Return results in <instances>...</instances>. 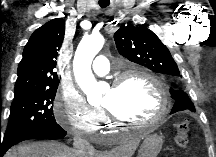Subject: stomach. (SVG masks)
<instances>
[{
  "instance_id": "obj_1",
  "label": "stomach",
  "mask_w": 216,
  "mask_h": 157,
  "mask_svg": "<svg viewBox=\"0 0 216 157\" xmlns=\"http://www.w3.org/2000/svg\"><path fill=\"white\" fill-rule=\"evenodd\" d=\"M162 143V136L159 134L154 133L145 136L137 157H156L162 148Z\"/></svg>"
}]
</instances>
